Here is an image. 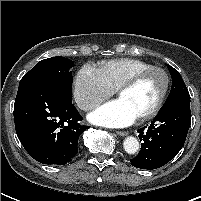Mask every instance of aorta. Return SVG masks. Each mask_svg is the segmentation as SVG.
<instances>
[{"mask_svg":"<svg viewBox=\"0 0 201 201\" xmlns=\"http://www.w3.org/2000/svg\"><path fill=\"white\" fill-rule=\"evenodd\" d=\"M123 147L128 154H135L139 150V142L135 137L128 136L124 139Z\"/></svg>","mask_w":201,"mask_h":201,"instance_id":"1","label":"aorta"}]
</instances>
